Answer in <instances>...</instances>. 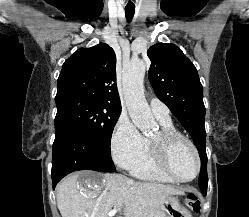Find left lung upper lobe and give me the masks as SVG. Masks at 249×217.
I'll return each instance as SVG.
<instances>
[{
  "mask_svg": "<svg viewBox=\"0 0 249 217\" xmlns=\"http://www.w3.org/2000/svg\"><path fill=\"white\" fill-rule=\"evenodd\" d=\"M149 80L158 98L189 132L199 151L201 168H207L203 87L195 66L174 44L149 48Z\"/></svg>",
  "mask_w": 249,
  "mask_h": 217,
  "instance_id": "5c2ea615",
  "label": "left lung upper lobe"
}]
</instances>
